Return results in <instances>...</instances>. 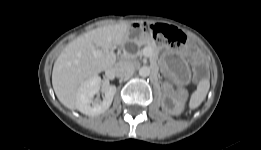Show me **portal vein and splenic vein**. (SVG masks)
Here are the masks:
<instances>
[{
  "instance_id": "1",
  "label": "portal vein and splenic vein",
  "mask_w": 261,
  "mask_h": 150,
  "mask_svg": "<svg viewBox=\"0 0 261 150\" xmlns=\"http://www.w3.org/2000/svg\"><path fill=\"white\" fill-rule=\"evenodd\" d=\"M145 52L148 53V50L145 49ZM92 53H93V55H94L95 57L100 56V55L102 54L100 50H96V49H93V50H92Z\"/></svg>"
}]
</instances>
